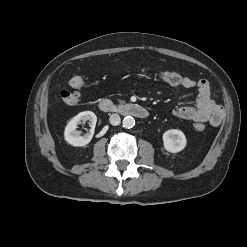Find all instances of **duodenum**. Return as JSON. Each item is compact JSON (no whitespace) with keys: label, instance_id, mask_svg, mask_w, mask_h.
I'll return each instance as SVG.
<instances>
[{"label":"duodenum","instance_id":"duodenum-1","mask_svg":"<svg viewBox=\"0 0 247 247\" xmlns=\"http://www.w3.org/2000/svg\"><path fill=\"white\" fill-rule=\"evenodd\" d=\"M98 108L105 113H119L140 119H145L149 116L147 109L136 103L115 104L109 99H101L98 102Z\"/></svg>","mask_w":247,"mask_h":247}]
</instances>
